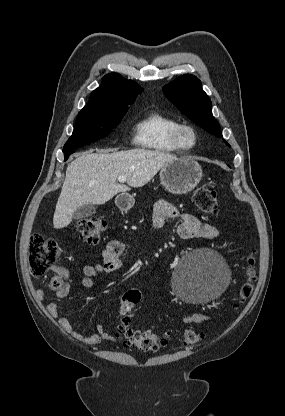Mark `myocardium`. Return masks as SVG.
I'll list each match as a JSON object with an SVG mask.
<instances>
[{
  "mask_svg": "<svg viewBox=\"0 0 285 416\" xmlns=\"http://www.w3.org/2000/svg\"><path fill=\"white\" fill-rule=\"evenodd\" d=\"M189 132L193 137V144L186 145L183 141L182 134L183 132ZM173 142L175 146L183 152H192L194 151L199 144V136L196 129L190 124H178L173 131Z\"/></svg>",
  "mask_w": 285,
  "mask_h": 416,
  "instance_id": "f54148a6",
  "label": "myocardium"
}]
</instances>
